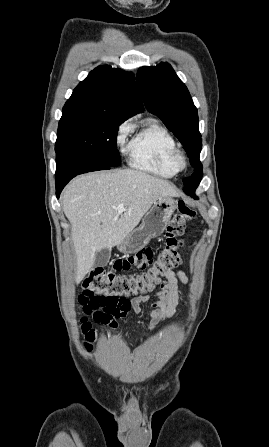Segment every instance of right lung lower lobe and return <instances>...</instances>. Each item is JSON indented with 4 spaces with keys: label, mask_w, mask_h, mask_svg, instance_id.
<instances>
[{
    "label": "right lung lower lobe",
    "mask_w": 269,
    "mask_h": 447,
    "mask_svg": "<svg viewBox=\"0 0 269 447\" xmlns=\"http://www.w3.org/2000/svg\"><path fill=\"white\" fill-rule=\"evenodd\" d=\"M56 196L59 198L64 186L76 175L85 172L110 169L111 167L96 165L68 157L56 158Z\"/></svg>",
    "instance_id": "1"
}]
</instances>
